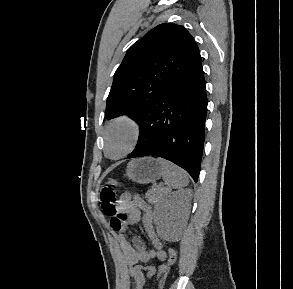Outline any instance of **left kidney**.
Instances as JSON below:
<instances>
[{"mask_svg":"<svg viewBox=\"0 0 293 289\" xmlns=\"http://www.w3.org/2000/svg\"><path fill=\"white\" fill-rule=\"evenodd\" d=\"M190 190L171 193L155 211L158 236L166 241L179 240L190 211Z\"/></svg>","mask_w":293,"mask_h":289,"instance_id":"obj_1","label":"left kidney"}]
</instances>
